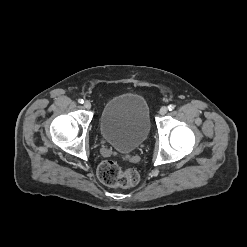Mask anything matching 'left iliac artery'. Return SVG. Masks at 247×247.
Returning <instances> with one entry per match:
<instances>
[{"label": "left iliac artery", "instance_id": "1", "mask_svg": "<svg viewBox=\"0 0 247 247\" xmlns=\"http://www.w3.org/2000/svg\"><path fill=\"white\" fill-rule=\"evenodd\" d=\"M174 108H175V105H173V104H170V105L168 106V110H169V111L174 110Z\"/></svg>", "mask_w": 247, "mask_h": 247}]
</instances>
